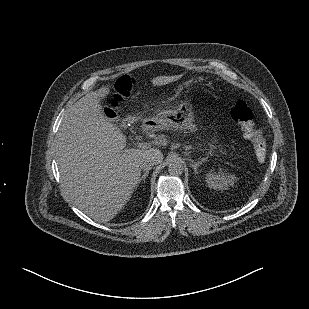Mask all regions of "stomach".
Segmentation results:
<instances>
[{"label":"stomach","mask_w":309,"mask_h":309,"mask_svg":"<svg viewBox=\"0 0 309 309\" xmlns=\"http://www.w3.org/2000/svg\"><path fill=\"white\" fill-rule=\"evenodd\" d=\"M149 121L156 127H184L194 121V108L188 102H181L176 109L161 112Z\"/></svg>","instance_id":"stomach-1"}]
</instances>
